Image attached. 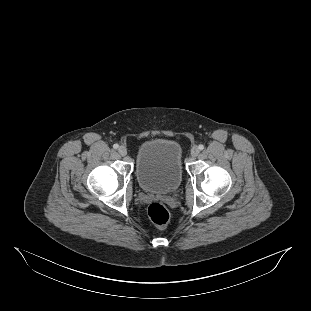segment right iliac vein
Returning <instances> with one entry per match:
<instances>
[{
  "label": "right iliac vein",
  "mask_w": 311,
  "mask_h": 311,
  "mask_svg": "<svg viewBox=\"0 0 311 311\" xmlns=\"http://www.w3.org/2000/svg\"><path fill=\"white\" fill-rule=\"evenodd\" d=\"M118 152L120 155L125 156L127 154V149L124 146H120Z\"/></svg>",
  "instance_id": "1"
}]
</instances>
